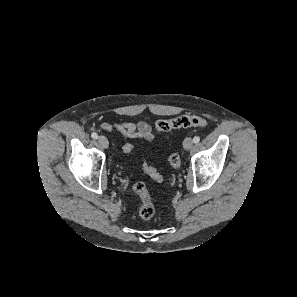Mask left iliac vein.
<instances>
[{"label":"left iliac vein","instance_id":"4c4485c4","mask_svg":"<svg viewBox=\"0 0 297 297\" xmlns=\"http://www.w3.org/2000/svg\"><path fill=\"white\" fill-rule=\"evenodd\" d=\"M193 144V140L190 137H187L183 142V147L185 150H190L193 147Z\"/></svg>","mask_w":297,"mask_h":297}]
</instances>
